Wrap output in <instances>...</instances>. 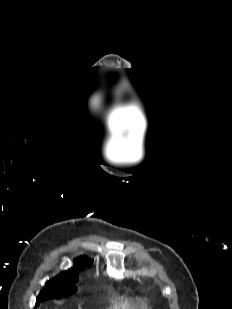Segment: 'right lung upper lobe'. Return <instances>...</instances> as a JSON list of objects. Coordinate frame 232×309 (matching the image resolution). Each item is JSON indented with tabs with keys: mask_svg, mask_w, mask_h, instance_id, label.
<instances>
[{
	"mask_svg": "<svg viewBox=\"0 0 232 309\" xmlns=\"http://www.w3.org/2000/svg\"><path fill=\"white\" fill-rule=\"evenodd\" d=\"M90 265H91V259H89L86 256L79 257L75 259L74 266L70 270L61 272L59 275L49 280L48 283L51 285L62 283V282H75L76 283L78 280V276L76 273ZM65 296H68V295H61V296H58L57 298H62Z\"/></svg>",
	"mask_w": 232,
	"mask_h": 309,
	"instance_id": "cb5924a9",
	"label": "right lung upper lobe"
}]
</instances>
